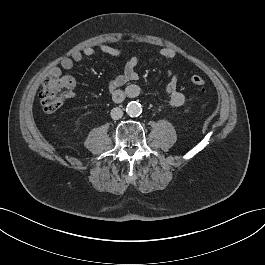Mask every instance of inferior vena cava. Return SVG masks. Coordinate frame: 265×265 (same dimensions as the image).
<instances>
[{
	"label": "inferior vena cava",
	"mask_w": 265,
	"mask_h": 265,
	"mask_svg": "<svg viewBox=\"0 0 265 265\" xmlns=\"http://www.w3.org/2000/svg\"><path fill=\"white\" fill-rule=\"evenodd\" d=\"M122 116H123V111L119 107H115L111 110L112 119L118 120V119L122 118Z\"/></svg>",
	"instance_id": "602c4592"
}]
</instances>
